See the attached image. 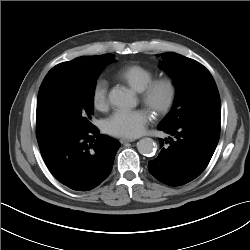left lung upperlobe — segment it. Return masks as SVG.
<instances>
[{"instance_id": "1", "label": "left lung upper lobe", "mask_w": 250, "mask_h": 250, "mask_svg": "<svg viewBox=\"0 0 250 250\" xmlns=\"http://www.w3.org/2000/svg\"><path fill=\"white\" fill-rule=\"evenodd\" d=\"M173 79L176 98L160 126L178 127L187 120L220 115V97L210 72L197 61L166 52L159 63Z\"/></svg>"}]
</instances>
